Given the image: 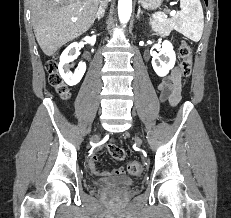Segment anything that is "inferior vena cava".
Listing matches in <instances>:
<instances>
[{
  "label": "inferior vena cava",
  "instance_id": "602c4592",
  "mask_svg": "<svg viewBox=\"0 0 231 218\" xmlns=\"http://www.w3.org/2000/svg\"><path fill=\"white\" fill-rule=\"evenodd\" d=\"M108 1L109 0H99L100 6H99V9H98L97 15L99 13H103L105 11V7L107 6Z\"/></svg>",
  "mask_w": 231,
  "mask_h": 218
}]
</instances>
